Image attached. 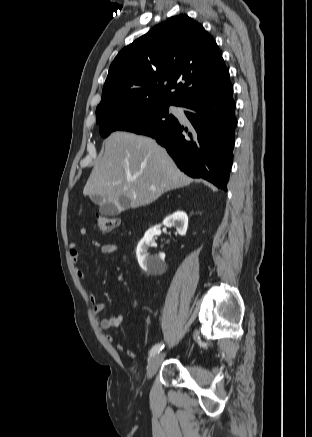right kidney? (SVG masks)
I'll return each instance as SVG.
<instances>
[{
  "instance_id": "right-kidney-1",
  "label": "right kidney",
  "mask_w": 312,
  "mask_h": 437,
  "mask_svg": "<svg viewBox=\"0 0 312 437\" xmlns=\"http://www.w3.org/2000/svg\"><path fill=\"white\" fill-rule=\"evenodd\" d=\"M163 225L167 227L175 226L177 232L184 236L188 227V216L185 212H175L166 217ZM160 233V225L150 228L141 239L137 246L136 256L140 267L145 271L156 272L163 268L164 259L159 256L149 255L148 248L152 246V239Z\"/></svg>"
}]
</instances>
